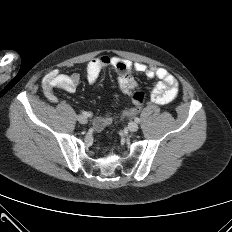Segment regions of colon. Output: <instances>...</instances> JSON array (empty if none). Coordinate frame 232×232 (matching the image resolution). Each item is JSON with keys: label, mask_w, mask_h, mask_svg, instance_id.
Returning a JSON list of instances; mask_svg holds the SVG:
<instances>
[{"label": "colon", "mask_w": 232, "mask_h": 232, "mask_svg": "<svg viewBox=\"0 0 232 232\" xmlns=\"http://www.w3.org/2000/svg\"><path fill=\"white\" fill-rule=\"evenodd\" d=\"M145 93L142 91H135L132 93V99L128 102L126 107L121 112V116L117 118V123L121 126L124 123V119L128 115H133V109H138L144 102Z\"/></svg>", "instance_id": "1"}]
</instances>
